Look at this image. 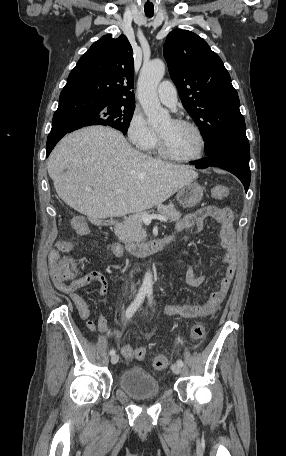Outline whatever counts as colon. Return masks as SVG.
<instances>
[{"label": "colon", "mask_w": 286, "mask_h": 456, "mask_svg": "<svg viewBox=\"0 0 286 456\" xmlns=\"http://www.w3.org/2000/svg\"><path fill=\"white\" fill-rule=\"evenodd\" d=\"M229 194V189L225 185H218L211 189V195L214 198H223ZM74 227L76 231L80 234H88L89 227L87 223L82 219L77 217L74 220ZM79 267L78 265L69 258L58 259L53 267V275L55 279L61 283L67 284L70 287H74L75 283L81 280L83 277L79 276ZM206 334V329L203 324H196L191 329V336L195 341H200L204 338ZM146 356V348L143 346L137 347L132 353V357L138 360L144 359ZM168 365V361L164 356H157L153 360V366L156 370H164Z\"/></svg>", "instance_id": "1"}]
</instances>
